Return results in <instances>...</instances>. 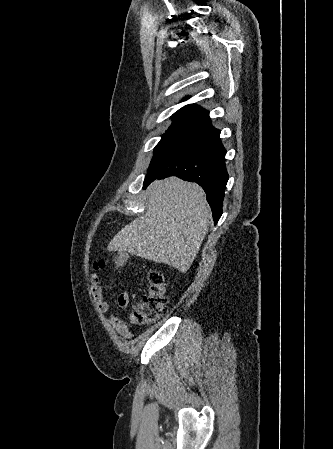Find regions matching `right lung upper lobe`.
<instances>
[{"label":"right lung upper lobe","mask_w":333,"mask_h":449,"mask_svg":"<svg viewBox=\"0 0 333 449\" xmlns=\"http://www.w3.org/2000/svg\"><path fill=\"white\" fill-rule=\"evenodd\" d=\"M171 126L197 128L201 131L211 127L209 112L195 104H189L172 115Z\"/></svg>","instance_id":"cb5924a9"}]
</instances>
